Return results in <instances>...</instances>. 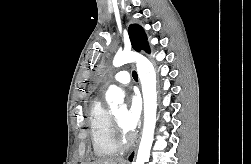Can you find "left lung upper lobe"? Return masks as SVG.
Instances as JSON below:
<instances>
[{
  "label": "left lung upper lobe",
  "instance_id": "5c2ea615",
  "mask_svg": "<svg viewBox=\"0 0 251 164\" xmlns=\"http://www.w3.org/2000/svg\"><path fill=\"white\" fill-rule=\"evenodd\" d=\"M129 38L132 47L135 51L144 50L150 52L149 45L147 43V37L142 27L139 25H130L128 29Z\"/></svg>",
  "mask_w": 251,
  "mask_h": 164
}]
</instances>
